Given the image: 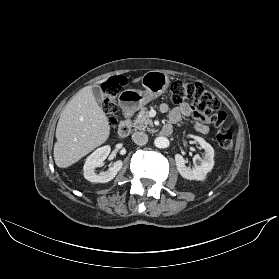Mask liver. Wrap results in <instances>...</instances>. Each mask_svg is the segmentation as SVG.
<instances>
[{
  "instance_id": "obj_1",
  "label": "liver",
  "mask_w": 279,
  "mask_h": 279,
  "mask_svg": "<svg viewBox=\"0 0 279 279\" xmlns=\"http://www.w3.org/2000/svg\"><path fill=\"white\" fill-rule=\"evenodd\" d=\"M140 79H134L133 83ZM92 87L82 88L60 114L54 145V160L60 168L76 163L109 138V121L97 104Z\"/></svg>"
}]
</instances>
